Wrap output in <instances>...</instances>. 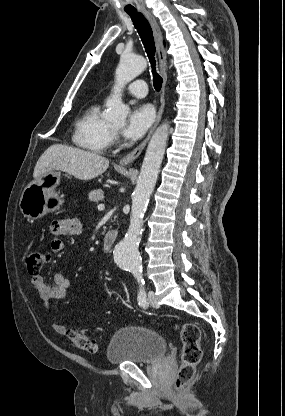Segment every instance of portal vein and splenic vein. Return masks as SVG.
Returning <instances> with one entry per match:
<instances>
[{
  "instance_id": "obj_1",
  "label": "portal vein and splenic vein",
  "mask_w": 285,
  "mask_h": 416,
  "mask_svg": "<svg viewBox=\"0 0 285 416\" xmlns=\"http://www.w3.org/2000/svg\"><path fill=\"white\" fill-rule=\"evenodd\" d=\"M98 210H105V206H104V204H99V206H98Z\"/></svg>"
}]
</instances>
